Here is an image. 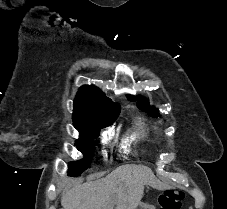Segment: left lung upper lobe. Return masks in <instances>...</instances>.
Wrapping results in <instances>:
<instances>
[{"label":"left lung upper lobe","instance_id":"5c2ea615","mask_svg":"<svg viewBox=\"0 0 227 209\" xmlns=\"http://www.w3.org/2000/svg\"><path fill=\"white\" fill-rule=\"evenodd\" d=\"M128 100L133 101L137 100V106L139 109L142 111H146L150 116L157 117L159 116L158 110H156L154 107H150L149 101L147 99H142L141 97H136V96H127Z\"/></svg>","mask_w":227,"mask_h":209}]
</instances>
